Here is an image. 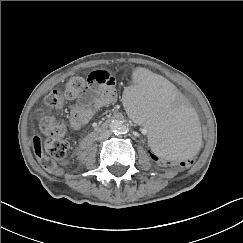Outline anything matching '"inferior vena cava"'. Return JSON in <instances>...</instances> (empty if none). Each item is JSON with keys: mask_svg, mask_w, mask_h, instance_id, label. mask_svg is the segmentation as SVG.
Masks as SVG:
<instances>
[{"mask_svg": "<svg viewBox=\"0 0 243 243\" xmlns=\"http://www.w3.org/2000/svg\"><path fill=\"white\" fill-rule=\"evenodd\" d=\"M110 135H111L110 130H104V131L99 133L97 139L98 140H105V139L109 138Z\"/></svg>", "mask_w": 243, "mask_h": 243, "instance_id": "602c4592", "label": "inferior vena cava"}]
</instances>
